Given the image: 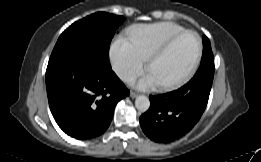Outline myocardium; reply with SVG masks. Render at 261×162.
<instances>
[{
  "label": "myocardium",
  "instance_id": "myocardium-1",
  "mask_svg": "<svg viewBox=\"0 0 261 162\" xmlns=\"http://www.w3.org/2000/svg\"><path fill=\"white\" fill-rule=\"evenodd\" d=\"M186 34H193L197 38L198 48H197L196 56L191 64V66L189 67V69L182 76H180L179 78H177L174 81L159 84V86L164 90H171V89L179 87L180 85H182L183 83L188 81L195 74V72L199 66V63L201 61V57H202V53H203V42H202L200 35L196 31L188 30V29L178 32V33L172 35L171 37H169L156 50H154L147 58L146 68H147V70H149L150 66L153 64L154 61H156L158 58H160L165 53H167L168 50L172 47V45L179 38H181L182 36H184Z\"/></svg>",
  "mask_w": 261,
  "mask_h": 162
}]
</instances>
